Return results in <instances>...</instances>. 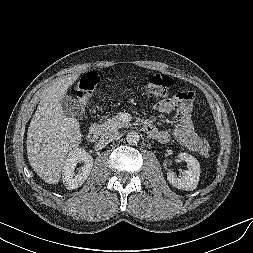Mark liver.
Masks as SVG:
<instances>
[{"label": "liver", "mask_w": 253, "mask_h": 253, "mask_svg": "<svg viewBox=\"0 0 253 253\" xmlns=\"http://www.w3.org/2000/svg\"><path fill=\"white\" fill-rule=\"evenodd\" d=\"M79 78L70 74L51 84L43 94L27 132L28 161L37 175L48 184L59 182L69 154L82 140L80 123L67 117L61 100Z\"/></svg>", "instance_id": "1"}]
</instances>
